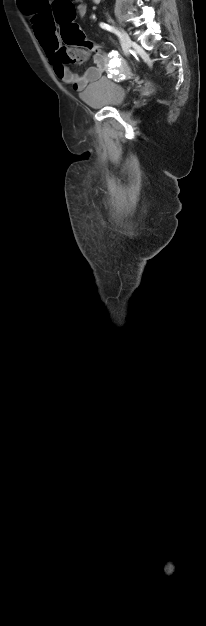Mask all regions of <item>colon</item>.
Segmentation results:
<instances>
[{
    "instance_id": "1",
    "label": "colon",
    "mask_w": 206,
    "mask_h": 626,
    "mask_svg": "<svg viewBox=\"0 0 206 626\" xmlns=\"http://www.w3.org/2000/svg\"><path fill=\"white\" fill-rule=\"evenodd\" d=\"M78 0H54L53 7L56 13L57 23L61 27V37L68 48H61L59 58L66 62L84 61L91 51L98 50L91 40L87 39L74 22L75 11L73 3ZM80 47V50L75 49Z\"/></svg>"
}]
</instances>
